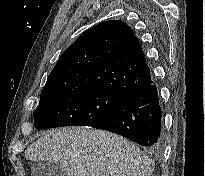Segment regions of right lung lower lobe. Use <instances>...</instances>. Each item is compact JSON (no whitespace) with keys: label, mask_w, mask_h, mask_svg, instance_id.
I'll list each match as a JSON object with an SVG mask.
<instances>
[{"label":"right lung lower lobe","mask_w":205,"mask_h":176,"mask_svg":"<svg viewBox=\"0 0 205 176\" xmlns=\"http://www.w3.org/2000/svg\"><path fill=\"white\" fill-rule=\"evenodd\" d=\"M162 112L153 82L129 93L102 121L93 125L159 151L163 145Z\"/></svg>","instance_id":"98d812e1"}]
</instances>
